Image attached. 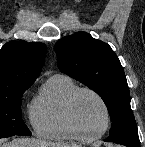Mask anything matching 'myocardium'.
<instances>
[{"label": "myocardium", "mask_w": 145, "mask_h": 147, "mask_svg": "<svg viewBox=\"0 0 145 147\" xmlns=\"http://www.w3.org/2000/svg\"><path fill=\"white\" fill-rule=\"evenodd\" d=\"M83 92L93 95L100 102V104L104 109L106 122L104 128L98 133H94V134L87 133L79 123L78 118L76 116L75 102L77 97ZM66 113L68 120L71 123L74 130L77 133H79L85 140H96L101 138L109 130L111 126L112 115L106 100L103 98V96L100 93L89 87H78L70 94V96L66 101Z\"/></svg>", "instance_id": "myocardium-1"}]
</instances>
